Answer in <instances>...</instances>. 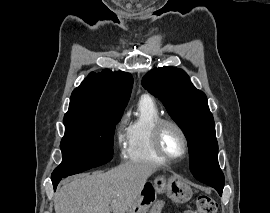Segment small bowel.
<instances>
[{"label": "small bowel", "instance_id": "c3829d8e", "mask_svg": "<svg viewBox=\"0 0 270 213\" xmlns=\"http://www.w3.org/2000/svg\"><path fill=\"white\" fill-rule=\"evenodd\" d=\"M163 207H164V202L158 201L152 206L149 213H162Z\"/></svg>", "mask_w": 270, "mask_h": 213}]
</instances>
